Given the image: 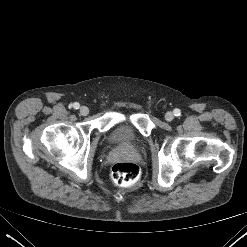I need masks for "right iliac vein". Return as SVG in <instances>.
<instances>
[{"instance_id":"1","label":"right iliac vein","mask_w":247,"mask_h":247,"mask_svg":"<svg viewBox=\"0 0 247 247\" xmlns=\"http://www.w3.org/2000/svg\"><path fill=\"white\" fill-rule=\"evenodd\" d=\"M80 114L82 115V116H87L88 115V113H89V109H88V107H86V106H82V107H80Z\"/></svg>"}]
</instances>
